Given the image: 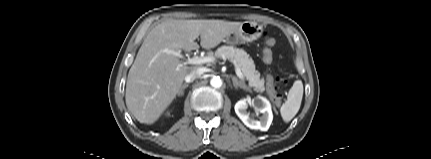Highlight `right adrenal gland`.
Here are the masks:
<instances>
[{
	"instance_id": "right-adrenal-gland-1",
	"label": "right adrenal gland",
	"mask_w": 431,
	"mask_h": 159,
	"mask_svg": "<svg viewBox=\"0 0 431 159\" xmlns=\"http://www.w3.org/2000/svg\"><path fill=\"white\" fill-rule=\"evenodd\" d=\"M188 86H189L188 84H183V85H182V87H181V89H180V92H179L178 96L183 95V94H184V90H185Z\"/></svg>"
}]
</instances>
